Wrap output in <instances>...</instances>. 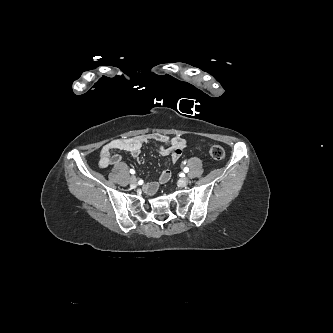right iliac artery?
I'll return each mask as SVG.
<instances>
[{
	"instance_id": "1",
	"label": "right iliac artery",
	"mask_w": 333,
	"mask_h": 333,
	"mask_svg": "<svg viewBox=\"0 0 333 333\" xmlns=\"http://www.w3.org/2000/svg\"><path fill=\"white\" fill-rule=\"evenodd\" d=\"M130 173H131V174H135V170L130 169Z\"/></svg>"
}]
</instances>
